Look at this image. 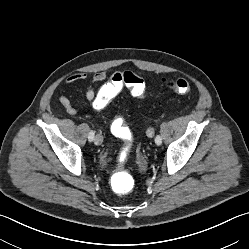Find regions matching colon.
I'll return each instance as SVG.
<instances>
[{
    "label": "colon",
    "instance_id": "1",
    "mask_svg": "<svg viewBox=\"0 0 249 249\" xmlns=\"http://www.w3.org/2000/svg\"><path fill=\"white\" fill-rule=\"evenodd\" d=\"M109 81L113 90L111 95H109V97L106 99V104L114 98L113 94L115 92L120 91L124 87L128 88L131 92V95L134 97H142L146 92V83L144 79L130 71L116 72L111 75ZM165 85L168 89L179 95L187 94L191 90L190 82L183 78L168 80L165 82ZM112 133L116 137H119L127 142L132 140L131 130L129 126L122 120L117 121L112 126ZM128 180L129 176L125 173H117L112 183L114 192L117 194L128 193L130 190L127 186Z\"/></svg>",
    "mask_w": 249,
    "mask_h": 249
}]
</instances>
